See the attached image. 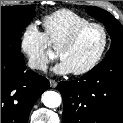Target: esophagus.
<instances>
[{
	"instance_id": "34e87169",
	"label": "esophagus",
	"mask_w": 123,
	"mask_h": 123,
	"mask_svg": "<svg viewBox=\"0 0 123 123\" xmlns=\"http://www.w3.org/2000/svg\"><path fill=\"white\" fill-rule=\"evenodd\" d=\"M49 84H50V87H52V88L57 87V82L55 80H53V79L49 80Z\"/></svg>"
}]
</instances>
